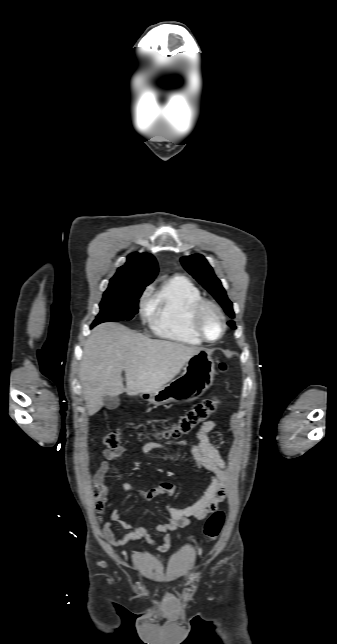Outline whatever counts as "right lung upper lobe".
I'll use <instances>...</instances> for the list:
<instances>
[{"label":"right lung upper lobe","mask_w":337,"mask_h":644,"mask_svg":"<svg viewBox=\"0 0 337 644\" xmlns=\"http://www.w3.org/2000/svg\"><path fill=\"white\" fill-rule=\"evenodd\" d=\"M158 274V265L153 255L132 253L125 265L118 268L108 288L142 287L149 285Z\"/></svg>","instance_id":"1"}]
</instances>
